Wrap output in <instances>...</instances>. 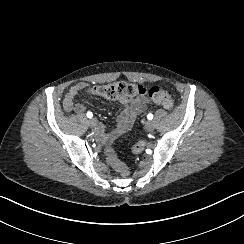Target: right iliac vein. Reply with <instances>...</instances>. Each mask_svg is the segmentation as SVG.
Masks as SVG:
<instances>
[{
	"instance_id": "obj_1",
	"label": "right iliac vein",
	"mask_w": 244,
	"mask_h": 244,
	"mask_svg": "<svg viewBox=\"0 0 244 244\" xmlns=\"http://www.w3.org/2000/svg\"><path fill=\"white\" fill-rule=\"evenodd\" d=\"M97 123H98V121H97L96 118H91L89 120V124H90L91 127H95L97 125Z\"/></svg>"
}]
</instances>
